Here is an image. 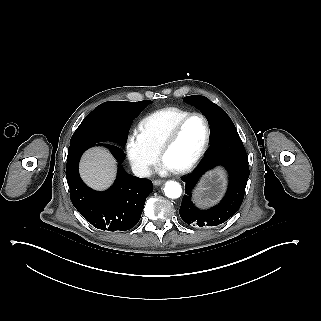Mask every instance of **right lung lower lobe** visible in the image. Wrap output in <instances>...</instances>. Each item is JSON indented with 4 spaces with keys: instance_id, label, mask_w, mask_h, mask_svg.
Returning <instances> with one entry per match:
<instances>
[{
    "instance_id": "obj_1",
    "label": "right lung lower lobe",
    "mask_w": 321,
    "mask_h": 321,
    "mask_svg": "<svg viewBox=\"0 0 321 321\" xmlns=\"http://www.w3.org/2000/svg\"><path fill=\"white\" fill-rule=\"evenodd\" d=\"M98 114L104 120L111 142L124 146L134 118L143 110L132 102L110 101L98 107ZM99 143V142H98ZM95 142H80L68 148L66 178L70 188V199L80 214L94 227L106 231H125L139 221L146 197L152 192V182L126 173L122 166L114 184L104 192L87 187L81 180L78 164L85 150ZM102 145V144H100ZM114 157L122 161V149L106 144Z\"/></svg>"
}]
</instances>
